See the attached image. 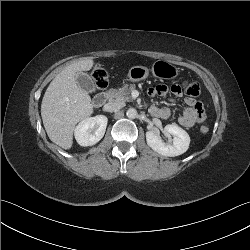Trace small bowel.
Listing matches in <instances>:
<instances>
[{"label":"small bowel","mask_w":250,"mask_h":250,"mask_svg":"<svg viewBox=\"0 0 250 250\" xmlns=\"http://www.w3.org/2000/svg\"><path fill=\"white\" fill-rule=\"evenodd\" d=\"M171 93L174 96H179L183 92V87L180 84H174L170 88ZM168 91L167 86L160 84L155 87H151L148 90L150 96L165 95ZM185 103L188 106L183 113L179 116L178 121L184 127H193L194 125L201 123L205 119V112L202 104L190 97L185 98ZM151 114L155 117L162 119H168L171 116L169 108H159L157 106H151Z\"/></svg>","instance_id":"1"}]
</instances>
